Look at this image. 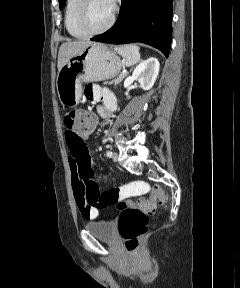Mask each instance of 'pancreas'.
<instances>
[{"label":"pancreas","instance_id":"pancreas-1","mask_svg":"<svg viewBox=\"0 0 240 288\" xmlns=\"http://www.w3.org/2000/svg\"><path fill=\"white\" fill-rule=\"evenodd\" d=\"M126 76V74H120L116 79L112 80V81H109L107 82L108 84H114V85H118L122 80L123 78Z\"/></svg>","mask_w":240,"mask_h":288}]
</instances>
